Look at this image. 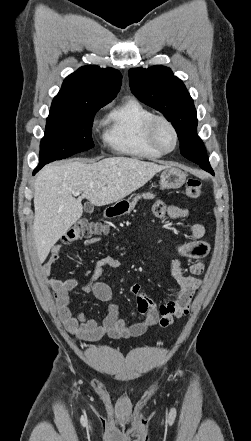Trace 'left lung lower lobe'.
<instances>
[{"instance_id": "obj_1", "label": "left lung lower lobe", "mask_w": 251, "mask_h": 441, "mask_svg": "<svg viewBox=\"0 0 251 441\" xmlns=\"http://www.w3.org/2000/svg\"><path fill=\"white\" fill-rule=\"evenodd\" d=\"M207 163H208V164H207V166H205V168H207L209 172L213 173L212 168H211V166H210V164H209V161H208V157H207ZM201 166H203L202 163H200V167H201ZM201 168H202V167H201Z\"/></svg>"}]
</instances>
